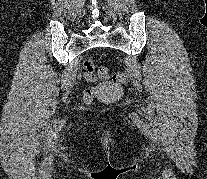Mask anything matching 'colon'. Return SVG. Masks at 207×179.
<instances>
[{
    "mask_svg": "<svg viewBox=\"0 0 207 179\" xmlns=\"http://www.w3.org/2000/svg\"><path fill=\"white\" fill-rule=\"evenodd\" d=\"M83 74L84 76L90 80L95 81L97 77L108 79L110 77V72L107 68L101 67L98 70V73L95 74L94 64L91 59H87L83 65ZM113 80L119 83H126L128 80V75L124 71H118L112 76ZM95 97V90L93 88H87L83 93V99L85 102L93 101Z\"/></svg>",
    "mask_w": 207,
    "mask_h": 179,
    "instance_id": "colon-1",
    "label": "colon"
}]
</instances>
